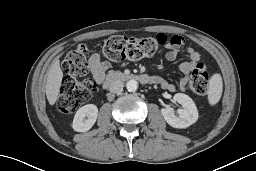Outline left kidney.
<instances>
[{
    "label": "left kidney",
    "mask_w": 256,
    "mask_h": 171,
    "mask_svg": "<svg viewBox=\"0 0 256 171\" xmlns=\"http://www.w3.org/2000/svg\"><path fill=\"white\" fill-rule=\"evenodd\" d=\"M174 100L178 102L182 108L177 110L178 116L172 108H162L161 113L165 121L174 128H186L198 119V110L193 100L186 94L177 93Z\"/></svg>",
    "instance_id": "left-kidney-1"
}]
</instances>
